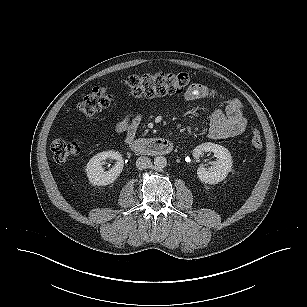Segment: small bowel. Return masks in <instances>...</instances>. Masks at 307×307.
Segmentation results:
<instances>
[{
	"label": "small bowel",
	"instance_id": "c3829d8e",
	"mask_svg": "<svg viewBox=\"0 0 307 307\" xmlns=\"http://www.w3.org/2000/svg\"><path fill=\"white\" fill-rule=\"evenodd\" d=\"M185 99L196 100H222L223 108H215L209 115L208 137L212 140L232 138L242 134L247 127V118L241 102L233 97L222 98L219 92L205 85L195 83L184 95ZM141 115L130 113L123 119L115 122L113 128L117 133L125 135V141L134 140Z\"/></svg>",
	"mask_w": 307,
	"mask_h": 307
}]
</instances>
